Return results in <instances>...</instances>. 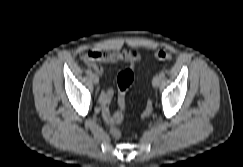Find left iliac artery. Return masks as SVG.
Masks as SVG:
<instances>
[{
	"mask_svg": "<svg viewBox=\"0 0 243 167\" xmlns=\"http://www.w3.org/2000/svg\"><path fill=\"white\" fill-rule=\"evenodd\" d=\"M160 77L164 78L165 77V72L164 71H161L160 74H159Z\"/></svg>",
	"mask_w": 243,
	"mask_h": 167,
	"instance_id": "left-iliac-artery-1",
	"label": "left iliac artery"
}]
</instances>
